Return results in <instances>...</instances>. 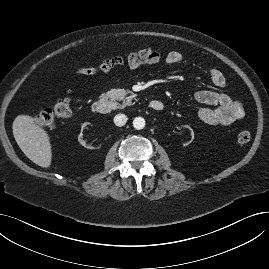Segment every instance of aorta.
Returning <instances> with one entry per match:
<instances>
[{
    "instance_id": "aorta-1",
    "label": "aorta",
    "mask_w": 269,
    "mask_h": 269,
    "mask_svg": "<svg viewBox=\"0 0 269 269\" xmlns=\"http://www.w3.org/2000/svg\"><path fill=\"white\" fill-rule=\"evenodd\" d=\"M133 126L137 130L143 129L145 127V120H144V118H142V117H136L133 120Z\"/></svg>"
}]
</instances>
